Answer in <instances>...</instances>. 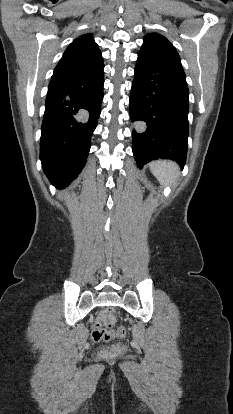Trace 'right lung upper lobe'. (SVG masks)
<instances>
[{
	"label": "right lung upper lobe",
	"instance_id": "right-lung-upper-lobe-1",
	"mask_svg": "<svg viewBox=\"0 0 233 414\" xmlns=\"http://www.w3.org/2000/svg\"><path fill=\"white\" fill-rule=\"evenodd\" d=\"M101 52L90 34L74 40L57 64L55 75H81L103 66Z\"/></svg>",
	"mask_w": 233,
	"mask_h": 414
}]
</instances>
